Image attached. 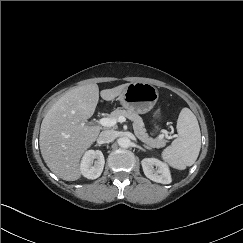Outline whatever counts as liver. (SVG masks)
<instances>
[{
  "label": "liver",
  "mask_w": 243,
  "mask_h": 243,
  "mask_svg": "<svg viewBox=\"0 0 243 243\" xmlns=\"http://www.w3.org/2000/svg\"><path fill=\"white\" fill-rule=\"evenodd\" d=\"M127 85L104 89L100 96L112 101ZM98 101L97 84L74 87L56 101L42 121L39 136L42 157L48 168L63 180L75 181L81 177V157L101 130L99 126H88L82 121L94 114Z\"/></svg>",
  "instance_id": "liver-1"
}]
</instances>
